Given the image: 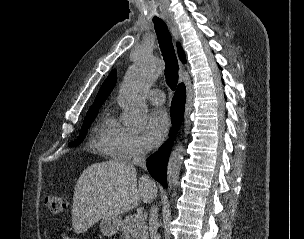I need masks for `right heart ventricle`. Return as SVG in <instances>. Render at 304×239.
Listing matches in <instances>:
<instances>
[{"label":"right heart ventricle","mask_w":304,"mask_h":239,"mask_svg":"<svg viewBox=\"0 0 304 239\" xmlns=\"http://www.w3.org/2000/svg\"><path fill=\"white\" fill-rule=\"evenodd\" d=\"M116 122L110 117H103L94 126L91 137V145L103 153L113 156L109 149V139L114 131Z\"/></svg>","instance_id":"right-heart-ventricle-1"}]
</instances>
